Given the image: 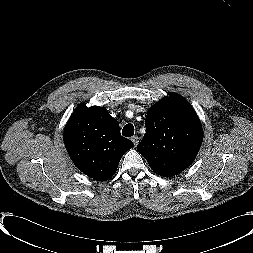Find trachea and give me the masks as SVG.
<instances>
[{
    "mask_svg": "<svg viewBox=\"0 0 253 253\" xmlns=\"http://www.w3.org/2000/svg\"><path fill=\"white\" fill-rule=\"evenodd\" d=\"M122 134L125 137H131V136H133L134 135V126L132 124H130V123L126 124L123 127Z\"/></svg>",
    "mask_w": 253,
    "mask_h": 253,
    "instance_id": "trachea-1",
    "label": "trachea"
}]
</instances>
